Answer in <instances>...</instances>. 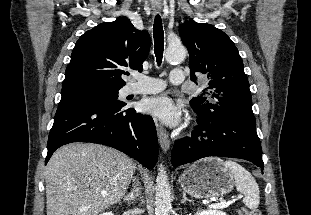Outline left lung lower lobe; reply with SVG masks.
Segmentation results:
<instances>
[{"label": "left lung lower lobe", "mask_w": 311, "mask_h": 215, "mask_svg": "<svg viewBox=\"0 0 311 215\" xmlns=\"http://www.w3.org/2000/svg\"><path fill=\"white\" fill-rule=\"evenodd\" d=\"M198 116L199 125L191 137L176 141L172 149L174 167L203 157L223 156L245 159L264 169L253 114L231 113L210 119L200 113Z\"/></svg>", "instance_id": "left-lung-lower-lobe-1"}]
</instances>
